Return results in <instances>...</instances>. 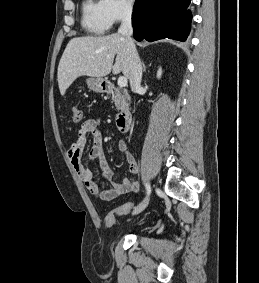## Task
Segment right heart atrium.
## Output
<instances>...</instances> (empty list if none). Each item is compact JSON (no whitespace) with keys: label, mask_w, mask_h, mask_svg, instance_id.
Masks as SVG:
<instances>
[{"label":"right heart atrium","mask_w":259,"mask_h":283,"mask_svg":"<svg viewBox=\"0 0 259 283\" xmlns=\"http://www.w3.org/2000/svg\"><path fill=\"white\" fill-rule=\"evenodd\" d=\"M101 2L111 25L129 18L135 8L132 0H101Z\"/></svg>","instance_id":"1"}]
</instances>
